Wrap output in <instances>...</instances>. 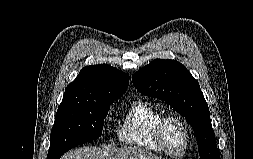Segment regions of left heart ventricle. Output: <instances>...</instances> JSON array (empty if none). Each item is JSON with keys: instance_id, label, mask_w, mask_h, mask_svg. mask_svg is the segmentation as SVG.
Segmentation results:
<instances>
[{"instance_id": "left-heart-ventricle-1", "label": "left heart ventricle", "mask_w": 253, "mask_h": 159, "mask_svg": "<svg viewBox=\"0 0 253 159\" xmlns=\"http://www.w3.org/2000/svg\"><path fill=\"white\" fill-rule=\"evenodd\" d=\"M164 143L172 152H180L184 145V134L181 126L169 121L164 128Z\"/></svg>"}]
</instances>
